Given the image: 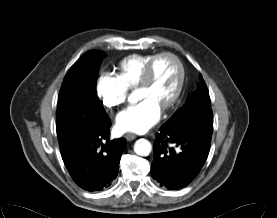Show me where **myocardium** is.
<instances>
[{
	"instance_id": "obj_1",
	"label": "myocardium",
	"mask_w": 277,
	"mask_h": 218,
	"mask_svg": "<svg viewBox=\"0 0 277 218\" xmlns=\"http://www.w3.org/2000/svg\"><path fill=\"white\" fill-rule=\"evenodd\" d=\"M164 57L172 59L175 62V64L177 65L178 70H179L178 82H177V85H176L174 91L172 92L170 97L161 105L162 109H168L181 96V93L183 91L184 84H185V78H186V70H185L184 63L177 54L172 53V52H161L159 54H156L151 59V61L148 63V65L145 69L144 75L138 84V87H146L151 83L155 65L161 58H164Z\"/></svg>"
}]
</instances>
